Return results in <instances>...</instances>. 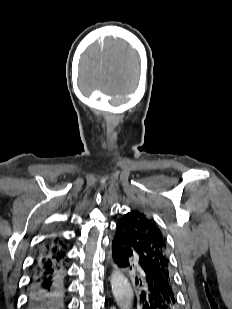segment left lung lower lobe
<instances>
[{"mask_svg":"<svg viewBox=\"0 0 232 309\" xmlns=\"http://www.w3.org/2000/svg\"><path fill=\"white\" fill-rule=\"evenodd\" d=\"M112 257L118 268H136L140 309H177V300L168 278L142 259L136 258L134 263V250L119 225L112 242Z\"/></svg>","mask_w":232,"mask_h":309,"instance_id":"left-lung-lower-lobe-1","label":"left lung lower lobe"}]
</instances>
